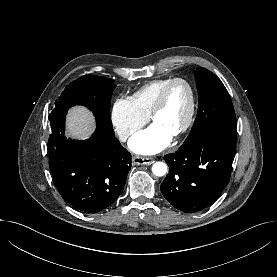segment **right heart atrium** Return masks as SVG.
Wrapping results in <instances>:
<instances>
[{
  "mask_svg": "<svg viewBox=\"0 0 277 277\" xmlns=\"http://www.w3.org/2000/svg\"><path fill=\"white\" fill-rule=\"evenodd\" d=\"M116 134L122 141L134 137L147 123L148 116L140 111L132 97L116 99L111 113Z\"/></svg>",
  "mask_w": 277,
  "mask_h": 277,
  "instance_id": "obj_1",
  "label": "right heart atrium"
}]
</instances>
